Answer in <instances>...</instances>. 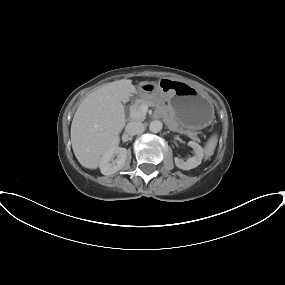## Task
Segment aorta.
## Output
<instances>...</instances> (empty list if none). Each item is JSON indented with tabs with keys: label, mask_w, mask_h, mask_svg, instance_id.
<instances>
[{
	"label": "aorta",
	"mask_w": 285,
	"mask_h": 285,
	"mask_svg": "<svg viewBox=\"0 0 285 285\" xmlns=\"http://www.w3.org/2000/svg\"><path fill=\"white\" fill-rule=\"evenodd\" d=\"M163 124L159 120H154L149 125V130L153 133H158L162 130Z\"/></svg>",
	"instance_id": "aorta-1"
}]
</instances>
